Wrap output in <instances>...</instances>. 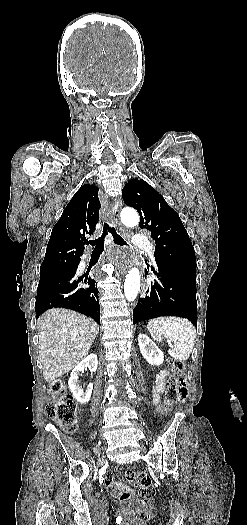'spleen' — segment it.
<instances>
[{
	"mask_svg": "<svg viewBox=\"0 0 247 525\" xmlns=\"http://www.w3.org/2000/svg\"><path fill=\"white\" fill-rule=\"evenodd\" d=\"M147 329L155 341L169 338L173 345L168 353L176 361H187L193 351L196 329L188 319L181 317H158L150 319Z\"/></svg>",
	"mask_w": 247,
	"mask_h": 525,
	"instance_id": "3e777b00",
	"label": "spleen"
}]
</instances>
